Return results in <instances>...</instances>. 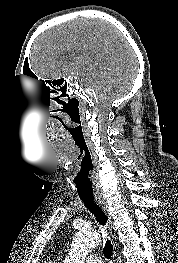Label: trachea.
<instances>
[{
  "mask_svg": "<svg viewBox=\"0 0 178 263\" xmlns=\"http://www.w3.org/2000/svg\"><path fill=\"white\" fill-rule=\"evenodd\" d=\"M90 170L88 166H82L77 177L76 185L79 197L84 202L86 208L95 216L96 221L104 226L107 222V215L103 209L95 202L93 197V185L90 179ZM104 256L110 259L113 253V245L109 239L106 240L104 249Z\"/></svg>",
  "mask_w": 178,
  "mask_h": 263,
  "instance_id": "obj_1",
  "label": "trachea"
}]
</instances>
